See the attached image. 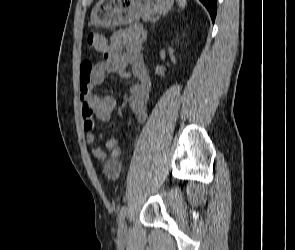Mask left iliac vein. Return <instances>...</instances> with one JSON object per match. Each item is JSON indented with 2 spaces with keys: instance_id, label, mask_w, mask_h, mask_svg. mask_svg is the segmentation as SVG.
Here are the masks:
<instances>
[{
  "instance_id": "left-iliac-vein-1",
  "label": "left iliac vein",
  "mask_w": 295,
  "mask_h": 250,
  "mask_svg": "<svg viewBox=\"0 0 295 250\" xmlns=\"http://www.w3.org/2000/svg\"><path fill=\"white\" fill-rule=\"evenodd\" d=\"M118 235L121 239H127L128 238V230H127V225L125 220H123L120 224H119V228H118Z\"/></svg>"
}]
</instances>
